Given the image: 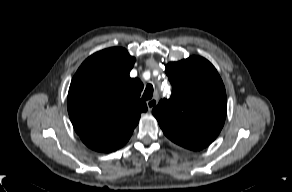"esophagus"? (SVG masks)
I'll use <instances>...</instances> for the list:
<instances>
[{
	"label": "esophagus",
	"mask_w": 292,
	"mask_h": 192,
	"mask_svg": "<svg viewBox=\"0 0 292 192\" xmlns=\"http://www.w3.org/2000/svg\"><path fill=\"white\" fill-rule=\"evenodd\" d=\"M158 103V100L156 98L150 99L147 101V107L148 110L151 111Z\"/></svg>",
	"instance_id": "obj_1"
}]
</instances>
